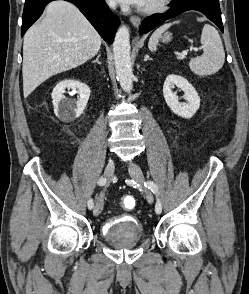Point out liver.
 Listing matches in <instances>:
<instances>
[{
	"label": "liver",
	"mask_w": 249,
	"mask_h": 294,
	"mask_svg": "<svg viewBox=\"0 0 249 294\" xmlns=\"http://www.w3.org/2000/svg\"><path fill=\"white\" fill-rule=\"evenodd\" d=\"M102 39L73 4L49 3L41 21L32 25L23 43V94L28 97L41 83L93 58Z\"/></svg>",
	"instance_id": "liver-1"
}]
</instances>
